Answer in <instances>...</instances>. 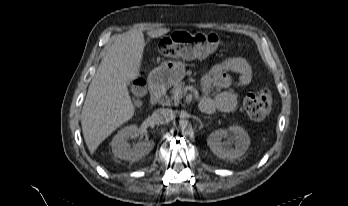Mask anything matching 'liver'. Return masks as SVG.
<instances>
[{
	"label": "liver",
	"instance_id": "6515ba94",
	"mask_svg": "<svg viewBox=\"0 0 348 206\" xmlns=\"http://www.w3.org/2000/svg\"><path fill=\"white\" fill-rule=\"evenodd\" d=\"M169 31L160 28L147 34L150 38H158ZM145 45L141 31L117 35L89 85L81 112V125L91 154L135 113L128 85L139 77Z\"/></svg>",
	"mask_w": 348,
	"mask_h": 206
}]
</instances>
